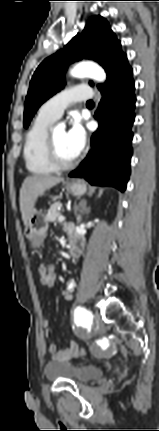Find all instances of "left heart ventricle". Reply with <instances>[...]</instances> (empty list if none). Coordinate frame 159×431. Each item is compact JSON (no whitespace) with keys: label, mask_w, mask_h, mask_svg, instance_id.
Instances as JSON below:
<instances>
[{"label":"left heart ventricle","mask_w":159,"mask_h":431,"mask_svg":"<svg viewBox=\"0 0 159 431\" xmlns=\"http://www.w3.org/2000/svg\"><path fill=\"white\" fill-rule=\"evenodd\" d=\"M66 132L64 130H56L53 132V138L57 148L58 155L61 160L68 162L73 160L76 156L69 150L66 139Z\"/></svg>","instance_id":"b2bd125f"}]
</instances>
